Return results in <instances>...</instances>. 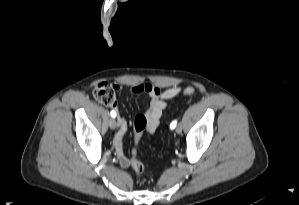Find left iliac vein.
<instances>
[{
  "label": "left iliac vein",
  "mask_w": 299,
  "mask_h": 205,
  "mask_svg": "<svg viewBox=\"0 0 299 205\" xmlns=\"http://www.w3.org/2000/svg\"><path fill=\"white\" fill-rule=\"evenodd\" d=\"M181 131H182V126H181V125H178V126L176 127V132H177L178 134H180Z\"/></svg>",
  "instance_id": "left-iliac-vein-1"
}]
</instances>
